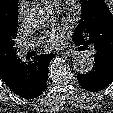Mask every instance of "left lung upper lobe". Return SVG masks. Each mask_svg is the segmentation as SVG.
Here are the masks:
<instances>
[{
	"label": "left lung upper lobe",
	"mask_w": 113,
	"mask_h": 113,
	"mask_svg": "<svg viewBox=\"0 0 113 113\" xmlns=\"http://www.w3.org/2000/svg\"><path fill=\"white\" fill-rule=\"evenodd\" d=\"M82 18L73 34V40L107 41L113 39V17L104 0H81Z\"/></svg>",
	"instance_id": "obj_1"
}]
</instances>
